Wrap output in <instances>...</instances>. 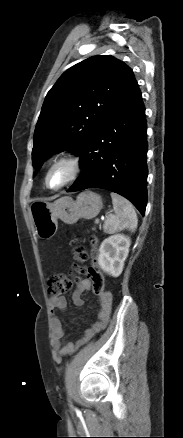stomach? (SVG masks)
Here are the masks:
<instances>
[{
	"instance_id": "obj_1",
	"label": "stomach",
	"mask_w": 183,
	"mask_h": 438,
	"mask_svg": "<svg viewBox=\"0 0 183 438\" xmlns=\"http://www.w3.org/2000/svg\"><path fill=\"white\" fill-rule=\"evenodd\" d=\"M103 207L100 195L85 191L77 196L61 197L53 203L35 201L29 207V213L35 227V233L40 239H51L58 230V219L66 224H74L80 218L92 219Z\"/></svg>"
}]
</instances>
